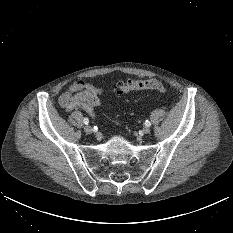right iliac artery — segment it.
Wrapping results in <instances>:
<instances>
[{"label": "right iliac artery", "mask_w": 233, "mask_h": 233, "mask_svg": "<svg viewBox=\"0 0 233 233\" xmlns=\"http://www.w3.org/2000/svg\"><path fill=\"white\" fill-rule=\"evenodd\" d=\"M83 122H84V124H88L89 123V119L88 118H84Z\"/></svg>", "instance_id": "right-iliac-artery-1"}]
</instances>
